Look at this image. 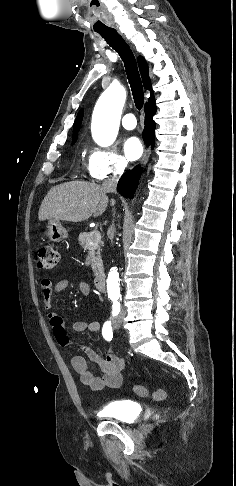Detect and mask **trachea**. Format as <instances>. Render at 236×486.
I'll return each instance as SVG.
<instances>
[{
    "mask_svg": "<svg viewBox=\"0 0 236 486\" xmlns=\"http://www.w3.org/2000/svg\"><path fill=\"white\" fill-rule=\"evenodd\" d=\"M105 41L120 55L126 68L127 78L131 87L135 106L141 110L144 103V92L136 59L129 45L113 28L98 31Z\"/></svg>",
    "mask_w": 236,
    "mask_h": 486,
    "instance_id": "1",
    "label": "trachea"
}]
</instances>
